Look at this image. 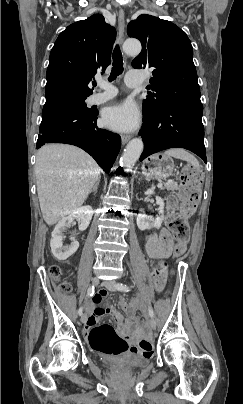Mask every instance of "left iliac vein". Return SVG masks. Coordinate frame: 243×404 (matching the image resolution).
<instances>
[{"label": "left iliac vein", "mask_w": 243, "mask_h": 404, "mask_svg": "<svg viewBox=\"0 0 243 404\" xmlns=\"http://www.w3.org/2000/svg\"><path fill=\"white\" fill-rule=\"evenodd\" d=\"M103 285L108 289L109 291H116V282L115 281H104ZM149 326L152 330L156 329V322L155 320L151 317L148 319Z\"/></svg>", "instance_id": "1"}]
</instances>
